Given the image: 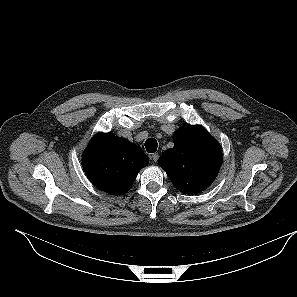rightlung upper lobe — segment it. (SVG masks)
Here are the masks:
<instances>
[{
    "mask_svg": "<svg viewBox=\"0 0 297 297\" xmlns=\"http://www.w3.org/2000/svg\"><path fill=\"white\" fill-rule=\"evenodd\" d=\"M148 161L147 155L135 144L110 133H99L86 148L82 165L97 188L122 195Z\"/></svg>",
    "mask_w": 297,
    "mask_h": 297,
    "instance_id": "right-lung-upper-lobe-1",
    "label": "right lung upper lobe"
}]
</instances>
